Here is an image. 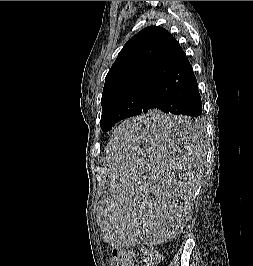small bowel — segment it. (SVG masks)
I'll return each mask as SVG.
<instances>
[{"label": "small bowel", "instance_id": "small-bowel-1", "mask_svg": "<svg viewBox=\"0 0 253 266\" xmlns=\"http://www.w3.org/2000/svg\"><path fill=\"white\" fill-rule=\"evenodd\" d=\"M130 266H138V265H134L133 263H130Z\"/></svg>", "mask_w": 253, "mask_h": 266}]
</instances>
